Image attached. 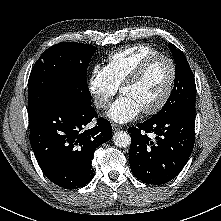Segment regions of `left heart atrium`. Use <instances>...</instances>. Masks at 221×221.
<instances>
[{
	"instance_id": "left-heart-atrium-1",
	"label": "left heart atrium",
	"mask_w": 221,
	"mask_h": 221,
	"mask_svg": "<svg viewBox=\"0 0 221 221\" xmlns=\"http://www.w3.org/2000/svg\"><path fill=\"white\" fill-rule=\"evenodd\" d=\"M140 107L128 96L121 95L110 107L107 116L118 123H125L140 114Z\"/></svg>"
}]
</instances>
